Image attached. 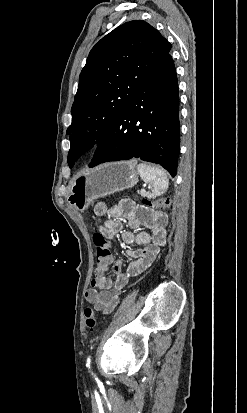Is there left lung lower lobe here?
Segmentation results:
<instances>
[{"label": "left lung lower lobe", "instance_id": "obj_1", "mask_svg": "<svg viewBox=\"0 0 247 413\" xmlns=\"http://www.w3.org/2000/svg\"><path fill=\"white\" fill-rule=\"evenodd\" d=\"M176 69L168 53L141 84L98 145L89 167L133 157L177 173L180 148Z\"/></svg>", "mask_w": 247, "mask_h": 413}]
</instances>
